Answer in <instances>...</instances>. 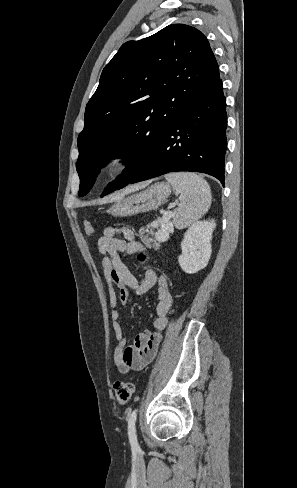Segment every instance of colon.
Wrapping results in <instances>:
<instances>
[{"instance_id":"colon-1","label":"colon","mask_w":297,"mask_h":488,"mask_svg":"<svg viewBox=\"0 0 297 488\" xmlns=\"http://www.w3.org/2000/svg\"><path fill=\"white\" fill-rule=\"evenodd\" d=\"M87 235H93L94 227L91 223L87 222L84 225ZM144 258V254L140 255ZM135 392V385L132 381H117L114 384V393L119 404H127Z\"/></svg>"}]
</instances>
